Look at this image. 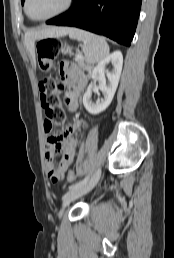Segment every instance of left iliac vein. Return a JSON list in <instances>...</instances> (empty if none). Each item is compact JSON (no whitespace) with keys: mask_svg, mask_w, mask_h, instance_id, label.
Returning a JSON list of instances; mask_svg holds the SVG:
<instances>
[{"mask_svg":"<svg viewBox=\"0 0 174 258\" xmlns=\"http://www.w3.org/2000/svg\"><path fill=\"white\" fill-rule=\"evenodd\" d=\"M100 174H101V171H100V169H98L88 183H86L85 185H83L79 188L68 191L63 196L62 207L58 214L59 218H61L63 216L67 205H69L72 201L78 199L79 197L83 196L84 194L88 193L95 187V185L97 184V182L100 178Z\"/></svg>","mask_w":174,"mask_h":258,"instance_id":"1","label":"left iliac vein"}]
</instances>
